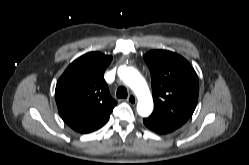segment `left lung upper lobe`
Returning <instances> with one entry per match:
<instances>
[{"mask_svg":"<svg viewBox=\"0 0 249 165\" xmlns=\"http://www.w3.org/2000/svg\"><path fill=\"white\" fill-rule=\"evenodd\" d=\"M144 60L151 72L154 100L151 117L183 125L197 105L196 72L186 59L167 50L149 51Z\"/></svg>","mask_w":249,"mask_h":165,"instance_id":"obj_1","label":"left lung upper lobe"}]
</instances>
